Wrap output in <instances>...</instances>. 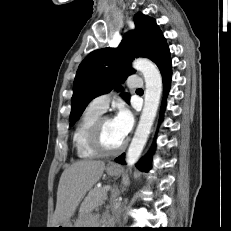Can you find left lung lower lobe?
<instances>
[{
	"label": "left lung lower lobe",
	"mask_w": 231,
	"mask_h": 231,
	"mask_svg": "<svg viewBox=\"0 0 231 231\" xmlns=\"http://www.w3.org/2000/svg\"><path fill=\"white\" fill-rule=\"evenodd\" d=\"M156 63V65L159 67V70L161 71V75L163 78V85H164V100L161 107V117L160 121L162 120V114L165 109V97L169 91V85L171 80V58H170V52L168 45L166 41L161 45L159 48L157 54L152 60ZM155 144L153 145V148L150 150V152L136 165L137 168L141 171H148L151 168V153L154 151ZM124 154L117 157L115 161L120 164L124 163Z\"/></svg>",
	"instance_id": "1"
}]
</instances>
